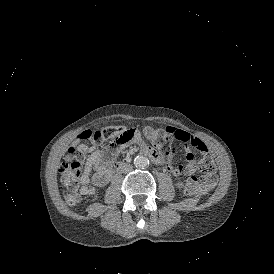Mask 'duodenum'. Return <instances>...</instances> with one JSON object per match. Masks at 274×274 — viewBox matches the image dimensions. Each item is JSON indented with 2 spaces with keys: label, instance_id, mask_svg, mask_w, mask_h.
<instances>
[{
  "label": "duodenum",
  "instance_id": "410a0bca",
  "mask_svg": "<svg viewBox=\"0 0 274 274\" xmlns=\"http://www.w3.org/2000/svg\"><path fill=\"white\" fill-rule=\"evenodd\" d=\"M142 154L145 155V156H148L154 162L159 161V157H158L157 153L154 150H152L151 148H148V147L143 148L142 149ZM123 165H124L123 162L114 163L113 166H112V172H115V171L119 170Z\"/></svg>",
  "mask_w": 274,
  "mask_h": 274
}]
</instances>
